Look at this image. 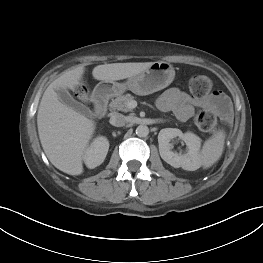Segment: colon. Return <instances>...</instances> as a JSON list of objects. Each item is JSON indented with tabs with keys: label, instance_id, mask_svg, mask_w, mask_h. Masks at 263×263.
<instances>
[{
	"label": "colon",
	"instance_id": "5ec220e1",
	"mask_svg": "<svg viewBox=\"0 0 263 263\" xmlns=\"http://www.w3.org/2000/svg\"><path fill=\"white\" fill-rule=\"evenodd\" d=\"M212 87L213 82L211 78L206 75H195L189 80V90L192 95L197 98H205L208 96ZM216 121V115L209 110H201L194 117L196 126L205 132H213Z\"/></svg>",
	"mask_w": 263,
	"mask_h": 263
}]
</instances>
